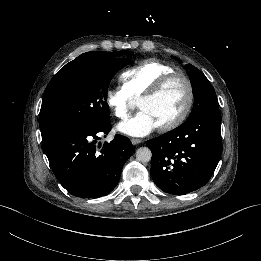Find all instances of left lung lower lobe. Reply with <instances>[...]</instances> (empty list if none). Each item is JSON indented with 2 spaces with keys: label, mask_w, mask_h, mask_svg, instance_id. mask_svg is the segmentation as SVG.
<instances>
[{
  "label": "left lung lower lobe",
  "mask_w": 261,
  "mask_h": 261,
  "mask_svg": "<svg viewBox=\"0 0 261 261\" xmlns=\"http://www.w3.org/2000/svg\"><path fill=\"white\" fill-rule=\"evenodd\" d=\"M151 176L164 192L185 195L208 183L222 153L221 115L205 111L147 141Z\"/></svg>",
  "instance_id": "obj_1"
}]
</instances>
